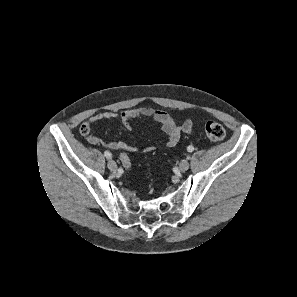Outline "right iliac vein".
Here are the masks:
<instances>
[{"label": "right iliac vein", "instance_id": "obj_1", "mask_svg": "<svg viewBox=\"0 0 297 297\" xmlns=\"http://www.w3.org/2000/svg\"><path fill=\"white\" fill-rule=\"evenodd\" d=\"M108 168L111 170V171H116L117 170V164L114 160L110 159L108 161V164H107Z\"/></svg>", "mask_w": 297, "mask_h": 297}]
</instances>
